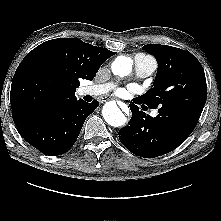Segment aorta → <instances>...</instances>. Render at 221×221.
Wrapping results in <instances>:
<instances>
[{"instance_id": "aorta-1", "label": "aorta", "mask_w": 221, "mask_h": 221, "mask_svg": "<svg viewBox=\"0 0 221 221\" xmlns=\"http://www.w3.org/2000/svg\"><path fill=\"white\" fill-rule=\"evenodd\" d=\"M131 60L125 56L117 57L112 63V72L114 75L124 77L131 73ZM105 121L113 127H122L126 123V117L118 108L116 103L108 102L102 110Z\"/></svg>"}]
</instances>
